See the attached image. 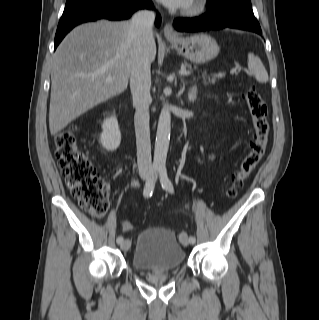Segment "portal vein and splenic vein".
<instances>
[{"mask_svg": "<svg viewBox=\"0 0 319 320\" xmlns=\"http://www.w3.org/2000/svg\"><path fill=\"white\" fill-rule=\"evenodd\" d=\"M179 73H180L181 75H185V76L191 74V72L188 71V70H186L185 67H182L181 70L179 71ZM215 76H216L217 78H221V77H224V76H225V73H218V74H216ZM111 79H112L111 77L108 78V80H111Z\"/></svg>", "mask_w": 319, "mask_h": 320, "instance_id": "portal-vein-and-splenic-vein-1", "label": "portal vein and splenic vein"}]
</instances>
